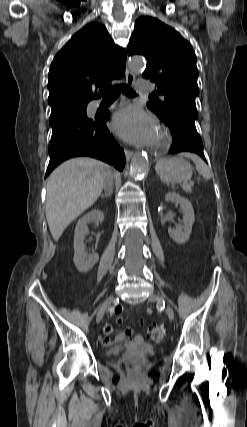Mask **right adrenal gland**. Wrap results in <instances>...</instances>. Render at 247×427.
<instances>
[{
    "instance_id": "2a0ac1e0",
    "label": "right adrenal gland",
    "mask_w": 247,
    "mask_h": 427,
    "mask_svg": "<svg viewBox=\"0 0 247 427\" xmlns=\"http://www.w3.org/2000/svg\"><path fill=\"white\" fill-rule=\"evenodd\" d=\"M112 192H113V189H110L109 191H106L103 195H101V197L102 198H105V197L108 198L111 196Z\"/></svg>"
}]
</instances>
